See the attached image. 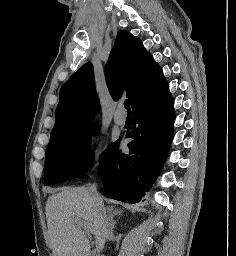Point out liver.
Returning a JSON list of instances; mask_svg holds the SVG:
<instances>
[{
    "label": "liver",
    "mask_w": 236,
    "mask_h": 256,
    "mask_svg": "<svg viewBox=\"0 0 236 256\" xmlns=\"http://www.w3.org/2000/svg\"><path fill=\"white\" fill-rule=\"evenodd\" d=\"M45 214L52 256H91L90 242L75 226L74 218L85 220L95 234L97 252L104 248L106 210L102 198H94L87 188H58V194L49 196Z\"/></svg>",
    "instance_id": "obj_1"
}]
</instances>
